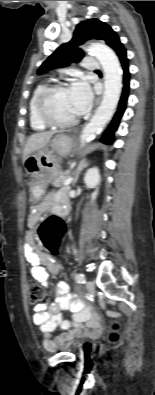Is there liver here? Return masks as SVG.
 <instances>
[{
  "mask_svg": "<svg viewBox=\"0 0 155 395\" xmlns=\"http://www.w3.org/2000/svg\"><path fill=\"white\" fill-rule=\"evenodd\" d=\"M55 133L56 132L54 131H48V132H39L32 134L27 140V143L24 148L23 162H25V160L30 154L45 148L49 144L52 136Z\"/></svg>",
  "mask_w": 155,
  "mask_h": 395,
  "instance_id": "1",
  "label": "liver"
}]
</instances>
